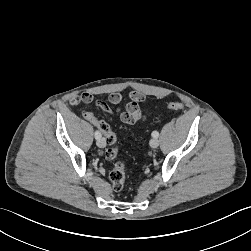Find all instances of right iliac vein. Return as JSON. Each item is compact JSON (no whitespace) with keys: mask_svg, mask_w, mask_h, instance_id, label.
Instances as JSON below:
<instances>
[{"mask_svg":"<svg viewBox=\"0 0 251 251\" xmlns=\"http://www.w3.org/2000/svg\"><path fill=\"white\" fill-rule=\"evenodd\" d=\"M97 146L100 148H104L106 146V141L104 138L97 139Z\"/></svg>","mask_w":251,"mask_h":251,"instance_id":"obj_1","label":"right iliac vein"}]
</instances>
